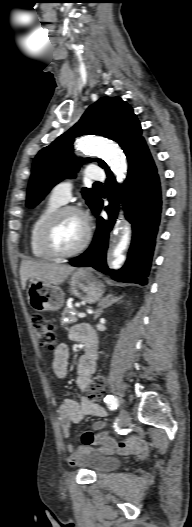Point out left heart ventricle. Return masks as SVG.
I'll return each mask as SVG.
<instances>
[{"label":"left heart ventricle","mask_w":192,"mask_h":527,"mask_svg":"<svg viewBox=\"0 0 192 527\" xmlns=\"http://www.w3.org/2000/svg\"><path fill=\"white\" fill-rule=\"evenodd\" d=\"M85 235V224L80 216L69 213L56 224L53 231V244L60 251L77 247Z\"/></svg>","instance_id":"1"}]
</instances>
